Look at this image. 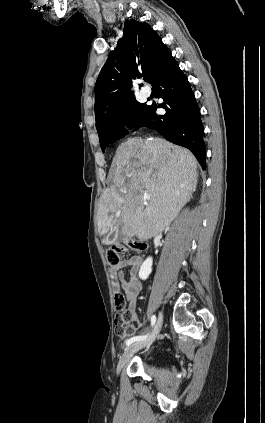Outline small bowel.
Instances as JSON below:
<instances>
[{"mask_svg":"<svg viewBox=\"0 0 265 423\" xmlns=\"http://www.w3.org/2000/svg\"><path fill=\"white\" fill-rule=\"evenodd\" d=\"M142 264V259L138 255H133L118 265L111 267L110 272L114 278V290L119 291L117 280H121V287L124 290L125 297L129 302L128 310L133 314V330L122 337L135 334L139 327V319L136 315L138 295L142 289V282L138 278V273ZM129 269V278L125 279L124 270Z\"/></svg>","mask_w":265,"mask_h":423,"instance_id":"small-bowel-1","label":"small bowel"}]
</instances>
